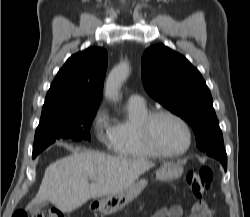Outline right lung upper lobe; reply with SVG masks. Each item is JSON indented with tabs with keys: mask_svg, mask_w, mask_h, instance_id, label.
I'll list each match as a JSON object with an SVG mask.
<instances>
[{
	"mask_svg": "<svg viewBox=\"0 0 250 217\" xmlns=\"http://www.w3.org/2000/svg\"><path fill=\"white\" fill-rule=\"evenodd\" d=\"M107 68V52L90 47L72 55L59 70L46 95L42 115L98 108Z\"/></svg>",
	"mask_w": 250,
	"mask_h": 217,
	"instance_id": "cb5924a9",
	"label": "right lung upper lobe"
}]
</instances>
